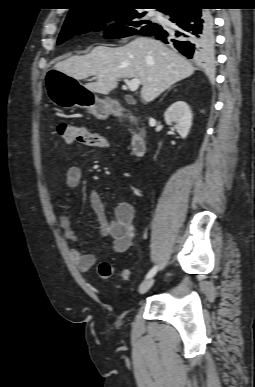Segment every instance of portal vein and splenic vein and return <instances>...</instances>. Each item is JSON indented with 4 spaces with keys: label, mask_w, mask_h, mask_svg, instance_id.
<instances>
[{
    "label": "portal vein and splenic vein",
    "mask_w": 255,
    "mask_h": 387,
    "mask_svg": "<svg viewBox=\"0 0 255 387\" xmlns=\"http://www.w3.org/2000/svg\"><path fill=\"white\" fill-rule=\"evenodd\" d=\"M124 81L128 86L129 90L132 92H135L139 88V85L141 83L140 80L137 78H133L131 80L125 79Z\"/></svg>",
    "instance_id": "portal-vein-and-splenic-vein-1"
}]
</instances>
